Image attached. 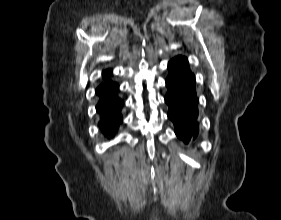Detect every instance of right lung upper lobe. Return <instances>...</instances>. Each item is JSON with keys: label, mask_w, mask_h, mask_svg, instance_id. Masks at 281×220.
Instances as JSON below:
<instances>
[{"label": "right lung upper lobe", "mask_w": 281, "mask_h": 220, "mask_svg": "<svg viewBox=\"0 0 281 220\" xmlns=\"http://www.w3.org/2000/svg\"><path fill=\"white\" fill-rule=\"evenodd\" d=\"M112 73V71L111 70H106V71H104L103 73H102V75H103V77H104V84H106V83H111L112 81H110L109 80V76H110V74Z\"/></svg>", "instance_id": "cb5924a9"}]
</instances>
